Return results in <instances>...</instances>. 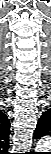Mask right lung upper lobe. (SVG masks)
I'll list each match as a JSON object with an SVG mask.
<instances>
[{
	"label": "right lung upper lobe",
	"mask_w": 51,
	"mask_h": 154,
	"mask_svg": "<svg viewBox=\"0 0 51 154\" xmlns=\"http://www.w3.org/2000/svg\"><path fill=\"white\" fill-rule=\"evenodd\" d=\"M2 115V117H3V121H5V127H6V131L8 132L9 130V119H8V117L4 114V113H2L1 114Z\"/></svg>",
	"instance_id": "cb5924a9"
}]
</instances>
